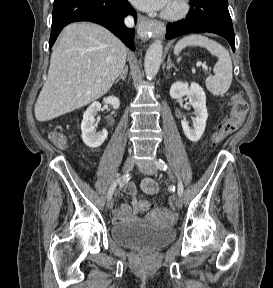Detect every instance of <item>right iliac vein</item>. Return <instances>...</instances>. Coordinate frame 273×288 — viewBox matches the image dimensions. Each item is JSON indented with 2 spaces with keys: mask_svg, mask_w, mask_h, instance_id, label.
<instances>
[{
  "mask_svg": "<svg viewBox=\"0 0 273 288\" xmlns=\"http://www.w3.org/2000/svg\"><path fill=\"white\" fill-rule=\"evenodd\" d=\"M134 164H135V160L133 158H128L123 165L122 172L123 173L130 172L133 169ZM106 206L108 210H111L114 206L113 199H109Z\"/></svg>",
  "mask_w": 273,
  "mask_h": 288,
  "instance_id": "63e3f726",
  "label": "right iliac vein"
}]
</instances>
